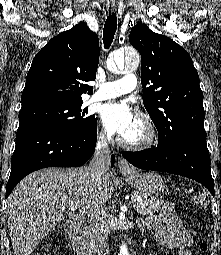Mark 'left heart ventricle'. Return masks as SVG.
Returning <instances> with one entry per match:
<instances>
[{
    "label": "left heart ventricle",
    "mask_w": 221,
    "mask_h": 255,
    "mask_svg": "<svg viewBox=\"0 0 221 255\" xmlns=\"http://www.w3.org/2000/svg\"><path fill=\"white\" fill-rule=\"evenodd\" d=\"M143 135H144V130L142 125L137 120H135L133 126L130 128L129 131H127L123 135V137L127 140L135 141V140L141 139Z\"/></svg>",
    "instance_id": "obj_1"
}]
</instances>
